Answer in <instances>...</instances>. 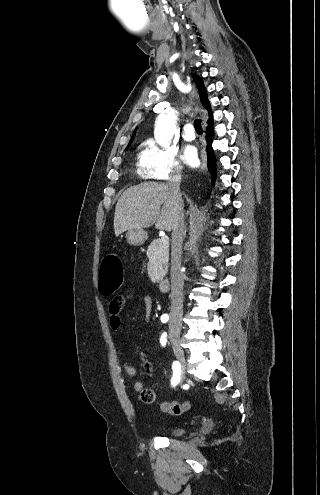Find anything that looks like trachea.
I'll list each match as a JSON object with an SVG mask.
<instances>
[{"instance_id": "obj_1", "label": "trachea", "mask_w": 320, "mask_h": 495, "mask_svg": "<svg viewBox=\"0 0 320 495\" xmlns=\"http://www.w3.org/2000/svg\"><path fill=\"white\" fill-rule=\"evenodd\" d=\"M194 127H195V130L197 131V133L199 134H202L203 131H202V125H201V120L200 119H196L194 121Z\"/></svg>"}]
</instances>
